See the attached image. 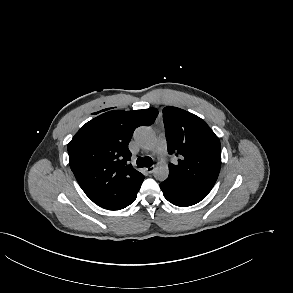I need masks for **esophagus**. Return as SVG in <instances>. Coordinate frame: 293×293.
I'll return each mask as SVG.
<instances>
[{
	"instance_id": "1",
	"label": "esophagus",
	"mask_w": 293,
	"mask_h": 293,
	"mask_svg": "<svg viewBox=\"0 0 293 293\" xmlns=\"http://www.w3.org/2000/svg\"><path fill=\"white\" fill-rule=\"evenodd\" d=\"M146 169V171L148 172V173H153L154 172V170H155V166H150V167H147V168H145Z\"/></svg>"
}]
</instances>
